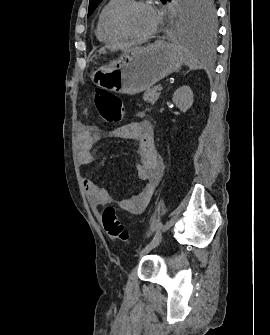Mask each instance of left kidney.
<instances>
[{
    "instance_id": "obj_1",
    "label": "left kidney",
    "mask_w": 270,
    "mask_h": 335,
    "mask_svg": "<svg viewBox=\"0 0 270 335\" xmlns=\"http://www.w3.org/2000/svg\"><path fill=\"white\" fill-rule=\"evenodd\" d=\"M172 100L180 112H187L193 104V92L189 86H181L174 92Z\"/></svg>"
}]
</instances>
